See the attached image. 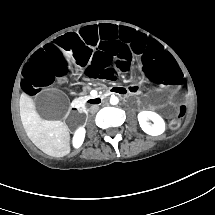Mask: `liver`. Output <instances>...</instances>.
<instances>
[{
	"instance_id": "obj_1",
	"label": "liver",
	"mask_w": 215,
	"mask_h": 215,
	"mask_svg": "<svg viewBox=\"0 0 215 215\" xmlns=\"http://www.w3.org/2000/svg\"><path fill=\"white\" fill-rule=\"evenodd\" d=\"M20 117L28 138L44 153L62 157L70 152L68 126L62 121L42 119L25 93L20 98Z\"/></svg>"
}]
</instances>
